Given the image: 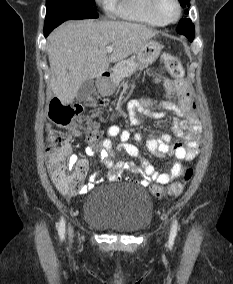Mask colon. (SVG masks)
<instances>
[{
  "instance_id": "1",
  "label": "colon",
  "mask_w": 233,
  "mask_h": 284,
  "mask_svg": "<svg viewBox=\"0 0 233 284\" xmlns=\"http://www.w3.org/2000/svg\"><path fill=\"white\" fill-rule=\"evenodd\" d=\"M162 61L168 72L176 79L184 75L181 61L174 55L164 53ZM104 100L99 96L90 97L83 104H64L59 99H53L49 105V118L59 129L52 130L48 136L47 161L53 172L55 186L65 195H73L80 191L85 176V170L78 165H65L63 160L69 151V135L64 131L81 114L84 108H99L104 105ZM88 142L96 146L100 143L101 132L95 126L89 128ZM192 168H187L183 173V181L172 183L168 190L154 185L150 187L151 193L160 198L166 193L171 196H179L184 190L185 183L191 178Z\"/></svg>"
}]
</instances>
